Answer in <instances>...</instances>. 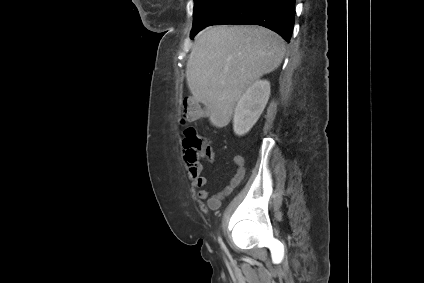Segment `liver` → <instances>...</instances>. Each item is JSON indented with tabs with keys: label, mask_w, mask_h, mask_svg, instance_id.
Wrapping results in <instances>:
<instances>
[{
	"label": "liver",
	"mask_w": 424,
	"mask_h": 283,
	"mask_svg": "<svg viewBox=\"0 0 424 283\" xmlns=\"http://www.w3.org/2000/svg\"><path fill=\"white\" fill-rule=\"evenodd\" d=\"M285 43L274 31L256 25H216L195 38L186 65L193 97L209 111L210 122L226 126L244 91L282 62Z\"/></svg>",
	"instance_id": "1"
}]
</instances>
